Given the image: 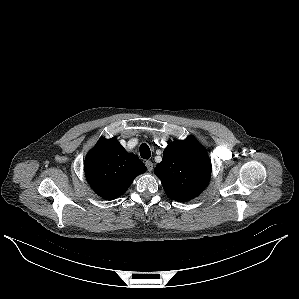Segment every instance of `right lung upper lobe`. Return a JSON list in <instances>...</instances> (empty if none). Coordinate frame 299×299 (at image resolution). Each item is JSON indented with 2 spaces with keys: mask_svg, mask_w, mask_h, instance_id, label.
<instances>
[{
  "mask_svg": "<svg viewBox=\"0 0 299 299\" xmlns=\"http://www.w3.org/2000/svg\"><path fill=\"white\" fill-rule=\"evenodd\" d=\"M84 170L91 188L102 198L111 200L125 193L146 167L115 138H101L86 156Z\"/></svg>",
  "mask_w": 299,
  "mask_h": 299,
  "instance_id": "cb5924a9",
  "label": "right lung upper lobe"
}]
</instances>
